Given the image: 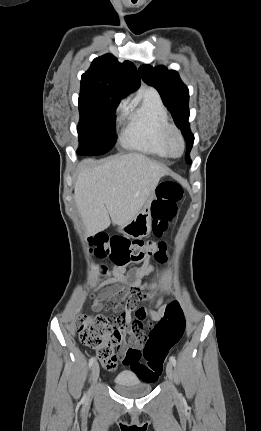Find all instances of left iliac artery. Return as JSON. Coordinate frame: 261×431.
<instances>
[{
	"label": "left iliac artery",
	"instance_id": "left-iliac-artery-1",
	"mask_svg": "<svg viewBox=\"0 0 261 431\" xmlns=\"http://www.w3.org/2000/svg\"><path fill=\"white\" fill-rule=\"evenodd\" d=\"M170 361H171V363L173 364V366L174 367H176V359H175V357L174 356H170Z\"/></svg>",
	"mask_w": 261,
	"mask_h": 431
}]
</instances>
